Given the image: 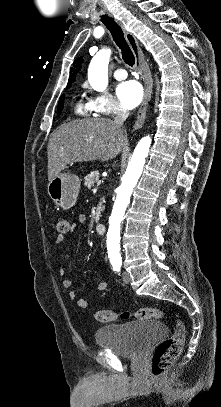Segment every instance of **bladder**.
I'll return each mask as SVG.
<instances>
[{"mask_svg": "<svg viewBox=\"0 0 221 407\" xmlns=\"http://www.w3.org/2000/svg\"><path fill=\"white\" fill-rule=\"evenodd\" d=\"M166 335V324L155 320L101 326L96 329L94 338L99 347L113 349L125 358H138L157 339Z\"/></svg>", "mask_w": 221, "mask_h": 407, "instance_id": "1", "label": "bladder"}]
</instances>
